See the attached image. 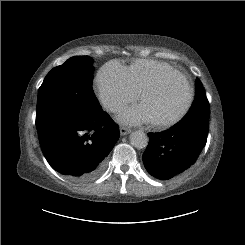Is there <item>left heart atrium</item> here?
I'll return each mask as SVG.
<instances>
[{"mask_svg":"<svg viewBox=\"0 0 245 245\" xmlns=\"http://www.w3.org/2000/svg\"><path fill=\"white\" fill-rule=\"evenodd\" d=\"M118 119L121 123L127 125H139L151 121L147 111L141 103L125 110Z\"/></svg>","mask_w":245,"mask_h":245,"instance_id":"1","label":"left heart atrium"}]
</instances>
